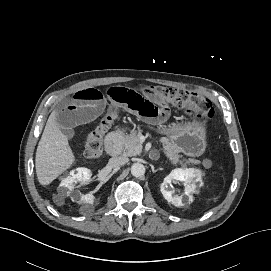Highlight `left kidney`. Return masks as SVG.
Listing matches in <instances>:
<instances>
[{
    "label": "left kidney",
    "mask_w": 271,
    "mask_h": 271,
    "mask_svg": "<svg viewBox=\"0 0 271 271\" xmlns=\"http://www.w3.org/2000/svg\"><path fill=\"white\" fill-rule=\"evenodd\" d=\"M176 181L184 182L185 189L182 195H175L172 189V183ZM196 182H201V173L193 168H178L171 171L166 176L160 186V191L163 197L171 204L181 207L185 201H190L193 197V192L196 189Z\"/></svg>",
    "instance_id": "5707ae66"
}]
</instances>
